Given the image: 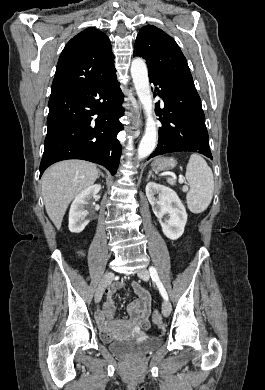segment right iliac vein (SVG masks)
Segmentation results:
<instances>
[{
    "label": "right iliac vein",
    "instance_id": "obj_1",
    "mask_svg": "<svg viewBox=\"0 0 265 390\" xmlns=\"http://www.w3.org/2000/svg\"><path fill=\"white\" fill-rule=\"evenodd\" d=\"M113 278H114V273L113 272H108V273L105 274V276L103 277L102 281L100 282L99 287H98V289L96 291V294H95V302L96 303L100 302L105 288L107 287V285L109 284V282Z\"/></svg>",
    "mask_w": 265,
    "mask_h": 390
}]
</instances>
